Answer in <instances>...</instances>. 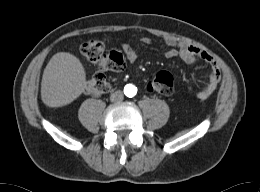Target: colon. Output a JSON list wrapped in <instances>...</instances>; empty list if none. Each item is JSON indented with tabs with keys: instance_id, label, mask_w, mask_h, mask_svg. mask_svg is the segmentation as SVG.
<instances>
[{
	"instance_id": "colon-1",
	"label": "colon",
	"mask_w": 260,
	"mask_h": 192,
	"mask_svg": "<svg viewBox=\"0 0 260 192\" xmlns=\"http://www.w3.org/2000/svg\"><path fill=\"white\" fill-rule=\"evenodd\" d=\"M106 43L104 39H92L80 47L85 59L100 71L86 83L85 91L91 96L103 95L111 89V83L103 71H122L125 67L123 55L117 51L107 52ZM147 90L157 95H171L174 90L173 76L166 71L157 73L149 80Z\"/></svg>"
}]
</instances>
